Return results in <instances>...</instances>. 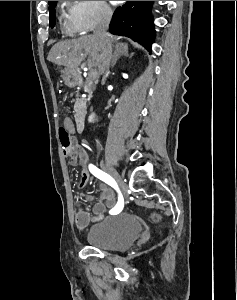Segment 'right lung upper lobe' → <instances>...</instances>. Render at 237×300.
<instances>
[{
    "instance_id": "1",
    "label": "right lung upper lobe",
    "mask_w": 237,
    "mask_h": 300,
    "mask_svg": "<svg viewBox=\"0 0 237 300\" xmlns=\"http://www.w3.org/2000/svg\"><path fill=\"white\" fill-rule=\"evenodd\" d=\"M53 1H48V3L50 4V3H52Z\"/></svg>"
}]
</instances>
